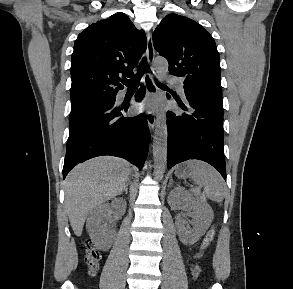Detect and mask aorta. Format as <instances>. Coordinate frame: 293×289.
<instances>
[{
	"mask_svg": "<svg viewBox=\"0 0 293 289\" xmlns=\"http://www.w3.org/2000/svg\"><path fill=\"white\" fill-rule=\"evenodd\" d=\"M157 76L162 79L168 71V63L163 58H157L154 63ZM154 176L162 179L167 162V124L164 113H160L156 120L153 140Z\"/></svg>",
	"mask_w": 293,
	"mask_h": 289,
	"instance_id": "aorta-1",
	"label": "aorta"
}]
</instances>
